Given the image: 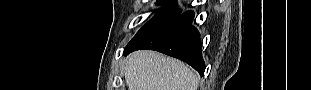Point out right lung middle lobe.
<instances>
[{"label": "right lung middle lobe", "mask_w": 311, "mask_h": 90, "mask_svg": "<svg viewBox=\"0 0 311 90\" xmlns=\"http://www.w3.org/2000/svg\"><path fill=\"white\" fill-rule=\"evenodd\" d=\"M174 2L175 1L172 0L158 1V4L164 5L165 9L162 12L158 13L152 20L148 21L129 43H134L141 40L146 35L152 33L153 31L157 30L158 28L162 27L163 25L173 20L176 16H178L181 13V10L171 8V5Z\"/></svg>", "instance_id": "dd1d6c3e"}]
</instances>
